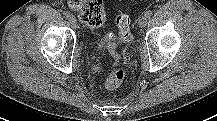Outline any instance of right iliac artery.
Listing matches in <instances>:
<instances>
[{
  "label": "right iliac artery",
  "instance_id": "right-iliac-artery-1",
  "mask_svg": "<svg viewBox=\"0 0 217 121\" xmlns=\"http://www.w3.org/2000/svg\"><path fill=\"white\" fill-rule=\"evenodd\" d=\"M65 16H66V18H67L69 21H72L73 19H75L74 15H72V14L69 13V12H66V13H65Z\"/></svg>",
  "mask_w": 217,
  "mask_h": 121
}]
</instances>
